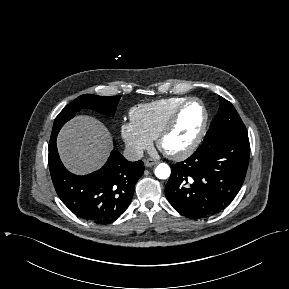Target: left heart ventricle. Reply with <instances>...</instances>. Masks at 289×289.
Listing matches in <instances>:
<instances>
[{
  "label": "left heart ventricle",
  "mask_w": 289,
  "mask_h": 289,
  "mask_svg": "<svg viewBox=\"0 0 289 289\" xmlns=\"http://www.w3.org/2000/svg\"><path fill=\"white\" fill-rule=\"evenodd\" d=\"M203 121V111L196 102L188 104L183 110L172 133L165 139L164 148L178 151L187 147L198 134Z\"/></svg>",
  "instance_id": "b2bd125f"
}]
</instances>
